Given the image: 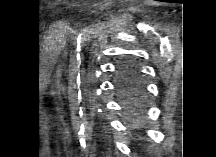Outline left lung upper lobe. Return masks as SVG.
<instances>
[{
	"label": "left lung upper lobe",
	"instance_id": "obj_1",
	"mask_svg": "<svg viewBox=\"0 0 216 157\" xmlns=\"http://www.w3.org/2000/svg\"><path fill=\"white\" fill-rule=\"evenodd\" d=\"M120 71L122 72L120 81L133 89L134 96L132 100L128 102V106L134 107L140 103L144 94L142 84L138 77V70L132 63L125 62L121 65Z\"/></svg>",
	"mask_w": 216,
	"mask_h": 157
}]
</instances>
